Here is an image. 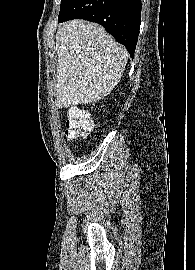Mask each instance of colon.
I'll list each match as a JSON object with an SVG mask.
<instances>
[{
	"instance_id": "colon-1",
	"label": "colon",
	"mask_w": 195,
	"mask_h": 270,
	"mask_svg": "<svg viewBox=\"0 0 195 270\" xmlns=\"http://www.w3.org/2000/svg\"><path fill=\"white\" fill-rule=\"evenodd\" d=\"M66 135L69 139L86 136L93 127V122L87 111L71 107L67 112Z\"/></svg>"
}]
</instances>
